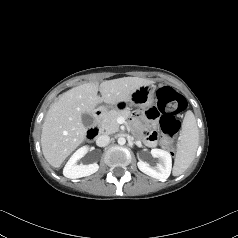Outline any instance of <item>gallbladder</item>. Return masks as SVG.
I'll return each mask as SVG.
<instances>
[{"mask_svg": "<svg viewBox=\"0 0 238 238\" xmlns=\"http://www.w3.org/2000/svg\"><path fill=\"white\" fill-rule=\"evenodd\" d=\"M82 123L85 127H89L93 123V117L90 114H83L82 115Z\"/></svg>", "mask_w": 238, "mask_h": 238, "instance_id": "1", "label": "gallbladder"}]
</instances>
